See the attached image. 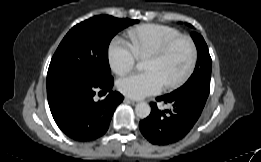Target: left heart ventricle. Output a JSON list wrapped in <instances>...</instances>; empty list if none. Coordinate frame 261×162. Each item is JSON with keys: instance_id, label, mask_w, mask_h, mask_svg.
Segmentation results:
<instances>
[{"instance_id": "obj_1", "label": "left heart ventricle", "mask_w": 261, "mask_h": 162, "mask_svg": "<svg viewBox=\"0 0 261 162\" xmlns=\"http://www.w3.org/2000/svg\"><path fill=\"white\" fill-rule=\"evenodd\" d=\"M190 58L189 45L186 42H181L163 58L147 56L144 61V68L156 70L166 85L184 73L189 65Z\"/></svg>"}]
</instances>
